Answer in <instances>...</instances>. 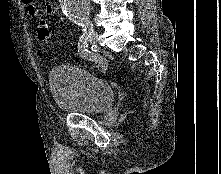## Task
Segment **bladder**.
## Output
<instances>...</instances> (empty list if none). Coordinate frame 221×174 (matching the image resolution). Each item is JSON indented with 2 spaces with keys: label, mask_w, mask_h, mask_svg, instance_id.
I'll return each mask as SVG.
<instances>
[{
  "label": "bladder",
  "mask_w": 221,
  "mask_h": 174,
  "mask_svg": "<svg viewBox=\"0 0 221 174\" xmlns=\"http://www.w3.org/2000/svg\"><path fill=\"white\" fill-rule=\"evenodd\" d=\"M48 81L52 99L64 113H102L115 98L114 90L107 81L79 67H54Z\"/></svg>",
  "instance_id": "obj_1"
}]
</instances>
